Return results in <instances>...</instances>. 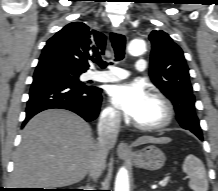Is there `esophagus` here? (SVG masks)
<instances>
[{"label": "esophagus", "mask_w": 218, "mask_h": 191, "mask_svg": "<svg viewBox=\"0 0 218 191\" xmlns=\"http://www.w3.org/2000/svg\"><path fill=\"white\" fill-rule=\"evenodd\" d=\"M114 30L120 34H127V30L124 25H119L115 27ZM117 153L119 156H127L131 154V149L126 142H120L117 147Z\"/></svg>", "instance_id": "34e87169"}]
</instances>
